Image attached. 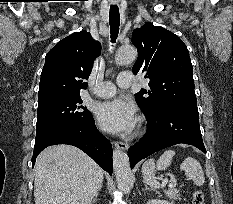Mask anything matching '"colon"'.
<instances>
[{"label": "colon", "mask_w": 233, "mask_h": 204, "mask_svg": "<svg viewBox=\"0 0 233 204\" xmlns=\"http://www.w3.org/2000/svg\"><path fill=\"white\" fill-rule=\"evenodd\" d=\"M204 203H205L204 193L199 189L196 190L193 193L192 204H204Z\"/></svg>", "instance_id": "5ec220e1"}]
</instances>
